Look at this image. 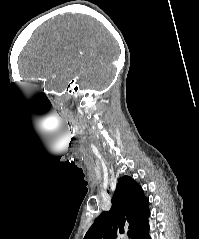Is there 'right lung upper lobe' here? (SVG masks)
<instances>
[{"label": "right lung upper lobe", "instance_id": "1", "mask_svg": "<svg viewBox=\"0 0 199 239\" xmlns=\"http://www.w3.org/2000/svg\"><path fill=\"white\" fill-rule=\"evenodd\" d=\"M149 215V201L142 188L131 177L123 176L118 179L111 209L96 218L84 239H115L117 230L123 233L126 228L134 235Z\"/></svg>", "mask_w": 199, "mask_h": 239}]
</instances>
